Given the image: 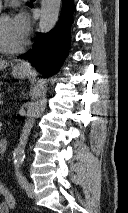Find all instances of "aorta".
<instances>
[{
	"mask_svg": "<svg viewBox=\"0 0 128 213\" xmlns=\"http://www.w3.org/2000/svg\"><path fill=\"white\" fill-rule=\"evenodd\" d=\"M61 0H41V12L39 28L43 33L49 32L55 26L60 12ZM44 80L39 81L33 92V101L27 105V116L22 133L19 138V143L13 152V162L15 167H19L25 158V147L28 142V137L34 126L35 120L33 117L40 112V104L38 99L42 97L46 88Z\"/></svg>",
	"mask_w": 128,
	"mask_h": 213,
	"instance_id": "1",
	"label": "aorta"
}]
</instances>
